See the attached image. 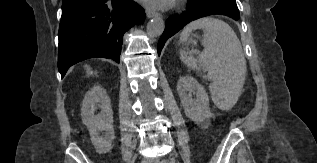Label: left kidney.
<instances>
[{
	"mask_svg": "<svg viewBox=\"0 0 317 163\" xmlns=\"http://www.w3.org/2000/svg\"><path fill=\"white\" fill-rule=\"evenodd\" d=\"M177 92L186 116L201 128H208L210 118L214 117V114L210 110L209 98L204 87L193 77L186 75L180 77ZM193 95H196V99H193Z\"/></svg>",
	"mask_w": 317,
	"mask_h": 163,
	"instance_id": "5707ae66",
	"label": "left kidney"
}]
</instances>
